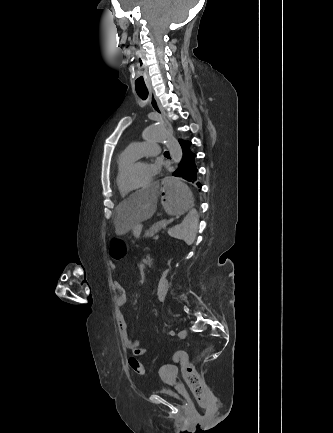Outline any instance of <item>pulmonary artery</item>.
I'll return each instance as SVG.
<instances>
[{"label":"pulmonary artery","mask_w":333,"mask_h":433,"mask_svg":"<svg viewBox=\"0 0 333 433\" xmlns=\"http://www.w3.org/2000/svg\"><path fill=\"white\" fill-rule=\"evenodd\" d=\"M127 149L137 158L158 155L162 152L161 146L152 140L131 143Z\"/></svg>","instance_id":"obj_1"}]
</instances>
